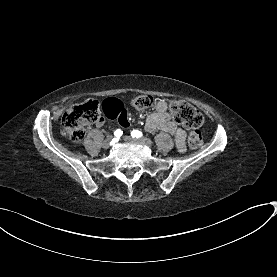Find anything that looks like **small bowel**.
I'll list each match as a JSON object with an SVG mask.
<instances>
[{
	"label": "small bowel",
	"instance_id": "obj_1",
	"mask_svg": "<svg viewBox=\"0 0 277 277\" xmlns=\"http://www.w3.org/2000/svg\"><path fill=\"white\" fill-rule=\"evenodd\" d=\"M103 123V120H99L96 125L100 127ZM145 129L148 132L161 130L173 135L178 149L184 151L186 133L172 120L165 100L161 99L155 103L154 111L146 118Z\"/></svg>",
	"mask_w": 277,
	"mask_h": 277
}]
</instances>
